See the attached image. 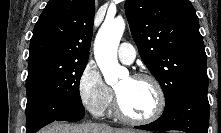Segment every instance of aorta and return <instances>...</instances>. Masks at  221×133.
Here are the masks:
<instances>
[{
  "instance_id": "obj_1",
  "label": "aorta",
  "mask_w": 221,
  "mask_h": 133,
  "mask_svg": "<svg viewBox=\"0 0 221 133\" xmlns=\"http://www.w3.org/2000/svg\"><path fill=\"white\" fill-rule=\"evenodd\" d=\"M124 30L125 22L122 18L106 20L95 39V59L109 85L116 84L120 76L127 75V70L119 65L117 59V48Z\"/></svg>"
}]
</instances>
